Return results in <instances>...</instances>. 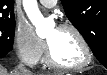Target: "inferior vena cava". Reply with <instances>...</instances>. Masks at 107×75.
<instances>
[{
	"label": "inferior vena cava",
	"mask_w": 107,
	"mask_h": 75,
	"mask_svg": "<svg viewBox=\"0 0 107 75\" xmlns=\"http://www.w3.org/2000/svg\"><path fill=\"white\" fill-rule=\"evenodd\" d=\"M14 74H16V75H32V72L25 67V65L23 64V62H20L16 66V68L14 70Z\"/></svg>",
	"instance_id": "602c4592"
}]
</instances>
